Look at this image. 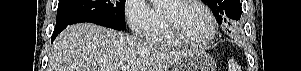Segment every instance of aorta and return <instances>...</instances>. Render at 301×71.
Listing matches in <instances>:
<instances>
[{
    "label": "aorta",
    "instance_id": "aorta-1",
    "mask_svg": "<svg viewBox=\"0 0 301 71\" xmlns=\"http://www.w3.org/2000/svg\"><path fill=\"white\" fill-rule=\"evenodd\" d=\"M154 7H162L166 5L167 0H151Z\"/></svg>",
    "mask_w": 301,
    "mask_h": 71
}]
</instances>
